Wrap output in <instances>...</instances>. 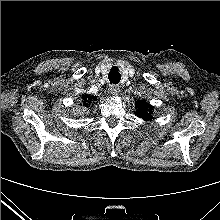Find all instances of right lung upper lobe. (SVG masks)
<instances>
[{"label": "right lung upper lobe", "mask_w": 220, "mask_h": 220, "mask_svg": "<svg viewBox=\"0 0 220 220\" xmlns=\"http://www.w3.org/2000/svg\"><path fill=\"white\" fill-rule=\"evenodd\" d=\"M97 100L96 97L94 96H90L88 94H84L82 95V102H83V106L89 107V105L91 103H95V101ZM93 105V104H92Z\"/></svg>", "instance_id": "1"}]
</instances>
